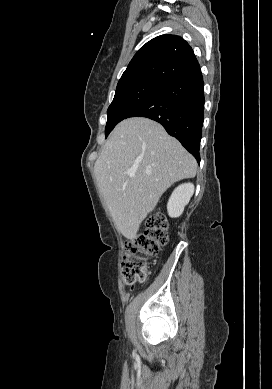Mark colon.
Masks as SVG:
<instances>
[{
	"instance_id": "obj_1",
	"label": "colon",
	"mask_w": 272,
	"mask_h": 389,
	"mask_svg": "<svg viewBox=\"0 0 272 389\" xmlns=\"http://www.w3.org/2000/svg\"><path fill=\"white\" fill-rule=\"evenodd\" d=\"M167 220L160 213H153L145 222L143 233L126 243V257L122 267L125 284L143 283L148 277L147 258L156 255L167 243Z\"/></svg>"
}]
</instances>
